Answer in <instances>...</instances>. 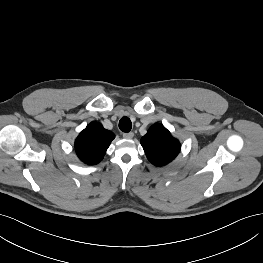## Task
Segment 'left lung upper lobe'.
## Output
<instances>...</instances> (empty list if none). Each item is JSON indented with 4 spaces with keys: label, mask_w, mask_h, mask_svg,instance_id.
<instances>
[{
    "label": "left lung upper lobe",
    "mask_w": 263,
    "mask_h": 263,
    "mask_svg": "<svg viewBox=\"0 0 263 263\" xmlns=\"http://www.w3.org/2000/svg\"><path fill=\"white\" fill-rule=\"evenodd\" d=\"M141 145L148 160L156 166L168 164L180 151L179 141L162 124L151 126L141 138Z\"/></svg>",
    "instance_id": "obj_1"
}]
</instances>
